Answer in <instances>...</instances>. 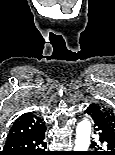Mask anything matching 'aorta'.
I'll return each instance as SVG.
<instances>
[{
  "label": "aorta",
  "instance_id": "aorta-1",
  "mask_svg": "<svg viewBox=\"0 0 115 155\" xmlns=\"http://www.w3.org/2000/svg\"><path fill=\"white\" fill-rule=\"evenodd\" d=\"M91 123L83 119L76 127L75 151H87L90 144Z\"/></svg>",
  "mask_w": 115,
  "mask_h": 155
}]
</instances>
